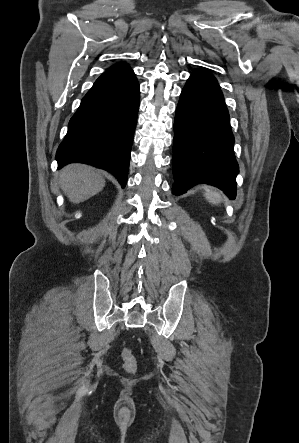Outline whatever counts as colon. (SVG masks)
Returning <instances> with one entry per match:
<instances>
[{
    "label": "colon",
    "instance_id": "colon-1",
    "mask_svg": "<svg viewBox=\"0 0 299 443\" xmlns=\"http://www.w3.org/2000/svg\"><path fill=\"white\" fill-rule=\"evenodd\" d=\"M123 367L128 373H135L137 370L136 360L128 349L123 351Z\"/></svg>",
    "mask_w": 299,
    "mask_h": 443
}]
</instances>
